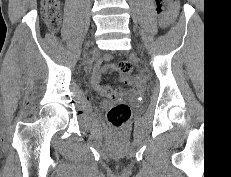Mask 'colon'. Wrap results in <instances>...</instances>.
<instances>
[{"label":"colon","instance_id":"1","mask_svg":"<svg viewBox=\"0 0 231 177\" xmlns=\"http://www.w3.org/2000/svg\"><path fill=\"white\" fill-rule=\"evenodd\" d=\"M164 3L172 5L173 0H157L156 8L161 17H165L167 15L164 9ZM41 4L44 13V20L48 29L51 32L56 31L61 23V0H41ZM117 69L121 74L129 75L132 72V64L123 60L119 62ZM130 115L131 110L129 105L124 102H119L109 109L107 118L112 126L119 128L128 121Z\"/></svg>","mask_w":231,"mask_h":177}]
</instances>
